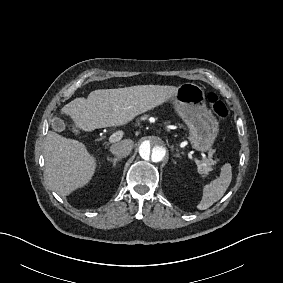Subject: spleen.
<instances>
[{"label": "spleen", "mask_w": 283, "mask_h": 283, "mask_svg": "<svg viewBox=\"0 0 283 283\" xmlns=\"http://www.w3.org/2000/svg\"><path fill=\"white\" fill-rule=\"evenodd\" d=\"M232 180L231 164H224L220 169V177L213 183L203 187L202 199L196 208L206 210L221 199Z\"/></svg>", "instance_id": "obj_1"}]
</instances>
